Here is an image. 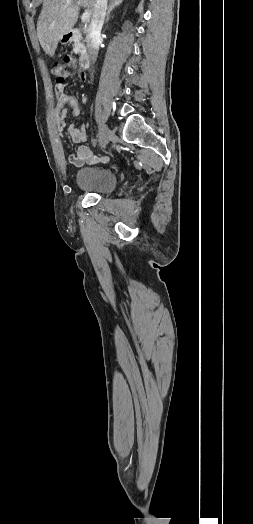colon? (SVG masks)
<instances>
[{"mask_svg":"<svg viewBox=\"0 0 253 524\" xmlns=\"http://www.w3.org/2000/svg\"><path fill=\"white\" fill-rule=\"evenodd\" d=\"M51 74L55 78V88L62 90L68 79L73 75L75 79H80L82 84L87 82L86 71L78 64L76 53H63L61 63L54 64L51 67Z\"/></svg>","mask_w":253,"mask_h":524,"instance_id":"5ec220e1","label":"colon"}]
</instances>
